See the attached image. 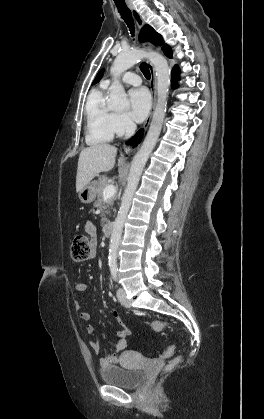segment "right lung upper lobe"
Returning <instances> with one entry per match:
<instances>
[{
	"mask_svg": "<svg viewBox=\"0 0 264 419\" xmlns=\"http://www.w3.org/2000/svg\"><path fill=\"white\" fill-rule=\"evenodd\" d=\"M103 72H104V70H102L98 73V75L96 76V78L94 80V83H97L102 78Z\"/></svg>",
	"mask_w": 264,
	"mask_h": 419,
	"instance_id": "1",
	"label": "right lung upper lobe"
}]
</instances>
